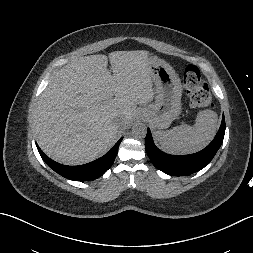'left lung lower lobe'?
<instances>
[{"instance_id": "1", "label": "left lung lower lobe", "mask_w": 253, "mask_h": 253, "mask_svg": "<svg viewBox=\"0 0 253 253\" xmlns=\"http://www.w3.org/2000/svg\"><path fill=\"white\" fill-rule=\"evenodd\" d=\"M225 134V119L213 141L203 150L182 156L168 155L160 151L153 143L151 132L148 129L145 138L146 152L156 168L173 176H185L197 172L207 166L220 148Z\"/></svg>"}]
</instances>
